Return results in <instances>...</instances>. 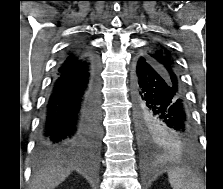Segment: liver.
<instances>
[{
	"label": "liver",
	"instance_id": "obj_1",
	"mask_svg": "<svg viewBox=\"0 0 223 189\" xmlns=\"http://www.w3.org/2000/svg\"><path fill=\"white\" fill-rule=\"evenodd\" d=\"M71 170L57 167L36 173L31 182V189H54L63 182Z\"/></svg>",
	"mask_w": 223,
	"mask_h": 189
}]
</instances>
